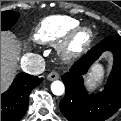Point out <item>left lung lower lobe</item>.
Masks as SVG:
<instances>
[{
    "label": "left lung lower lobe",
    "instance_id": "obj_1",
    "mask_svg": "<svg viewBox=\"0 0 121 121\" xmlns=\"http://www.w3.org/2000/svg\"><path fill=\"white\" fill-rule=\"evenodd\" d=\"M104 51H111L114 64L104 90L89 94L83 75ZM66 92L60 110L69 121H103L121 107V37L109 36L91 48L62 75Z\"/></svg>",
    "mask_w": 121,
    "mask_h": 121
}]
</instances>
